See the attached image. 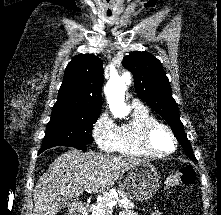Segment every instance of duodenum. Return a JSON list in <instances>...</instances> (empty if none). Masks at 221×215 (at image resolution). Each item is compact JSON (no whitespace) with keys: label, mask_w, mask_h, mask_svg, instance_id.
I'll list each match as a JSON object with an SVG mask.
<instances>
[{"label":"duodenum","mask_w":221,"mask_h":215,"mask_svg":"<svg viewBox=\"0 0 221 215\" xmlns=\"http://www.w3.org/2000/svg\"><path fill=\"white\" fill-rule=\"evenodd\" d=\"M88 210H89V207L87 206L83 213H77V214H74V215H84V214H87Z\"/></svg>","instance_id":"410a0bca"}]
</instances>
